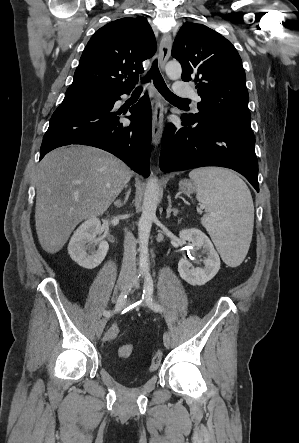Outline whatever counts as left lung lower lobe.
Returning a JSON list of instances; mask_svg holds the SVG:
<instances>
[{
    "label": "left lung lower lobe",
    "instance_id": "obj_1",
    "mask_svg": "<svg viewBox=\"0 0 299 443\" xmlns=\"http://www.w3.org/2000/svg\"><path fill=\"white\" fill-rule=\"evenodd\" d=\"M182 128L168 124L162 138L160 168L165 172L203 166L233 169L259 192L255 137L250 122L205 121L181 116Z\"/></svg>",
    "mask_w": 299,
    "mask_h": 443
}]
</instances>
